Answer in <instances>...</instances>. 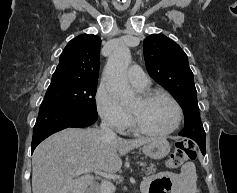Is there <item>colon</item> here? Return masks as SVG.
Wrapping results in <instances>:
<instances>
[{
    "mask_svg": "<svg viewBox=\"0 0 237 193\" xmlns=\"http://www.w3.org/2000/svg\"><path fill=\"white\" fill-rule=\"evenodd\" d=\"M196 156L197 149L193 142L186 140L179 141L167 161V166L170 169L178 168L185 162L196 159Z\"/></svg>",
    "mask_w": 237,
    "mask_h": 193,
    "instance_id": "obj_1",
    "label": "colon"
}]
</instances>
